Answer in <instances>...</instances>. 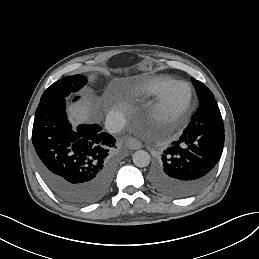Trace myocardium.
<instances>
[{
  "label": "myocardium",
  "instance_id": "f54148a6",
  "mask_svg": "<svg viewBox=\"0 0 259 259\" xmlns=\"http://www.w3.org/2000/svg\"><path fill=\"white\" fill-rule=\"evenodd\" d=\"M138 80L141 84H143L144 87H146V84L149 80H156L161 83L172 82V81H182L189 87V90H190L189 102L176 115L173 116L172 121L175 124H178V123L182 122L184 119H186L189 116V114L192 112L194 107L196 106L197 92H196L195 86L190 81L184 80V79L174 76V75H171L168 77H162L160 75H149L144 79H138Z\"/></svg>",
  "mask_w": 259,
  "mask_h": 259
}]
</instances>
